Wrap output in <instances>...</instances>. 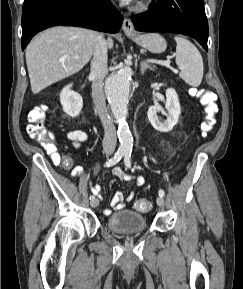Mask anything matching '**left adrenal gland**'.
I'll return each mask as SVG.
<instances>
[{"label": "left adrenal gland", "instance_id": "a2214340", "mask_svg": "<svg viewBox=\"0 0 243 289\" xmlns=\"http://www.w3.org/2000/svg\"><path fill=\"white\" fill-rule=\"evenodd\" d=\"M147 69L154 70V67H152V66H151L150 64H148L147 62L142 61V62L140 63V72H141V74L143 75L144 72H145Z\"/></svg>", "mask_w": 243, "mask_h": 289}]
</instances>
